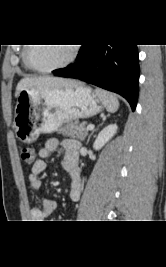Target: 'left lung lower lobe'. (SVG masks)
<instances>
[{
  "mask_svg": "<svg viewBox=\"0 0 166 267\" xmlns=\"http://www.w3.org/2000/svg\"><path fill=\"white\" fill-rule=\"evenodd\" d=\"M77 59L73 65L54 70V75L116 92L135 110L139 83L137 45H82Z\"/></svg>",
  "mask_w": 166,
  "mask_h": 267,
  "instance_id": "obj_1",
  "label": "left lung lower lobe"
}]
</instances>
